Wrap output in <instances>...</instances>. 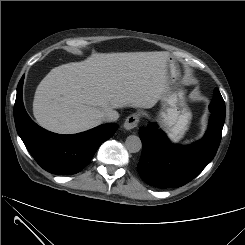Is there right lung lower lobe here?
I'll use <instances>...</instances> for the list:
<instances>
[{"label": "right lung lower lobe", "mask_w": 245, "mask_h": 245, "mask_svg": "<svg viewBox=\"0 0 245 245\" xmlns=\"http://www.w3.org/2000/svg\"><path fill=\"white\" fill-rule=\"evenodd\" d=\"M23 79L17 88L14 105L16 129L30 154L46 171L68 175L81 171L91 161L99 146L117 130L115 123L89 131L60 135L38 126L27 114L22 100Z\"/></svg>", "instance_id": "1"}]
</instances>
